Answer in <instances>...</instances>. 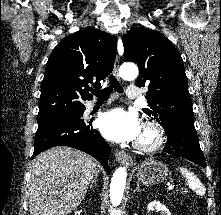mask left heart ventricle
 <instances>
[{"mask_svg":"<svg viewBox=\"0 0 221 215\" xmlns=\"http://www.w3.org/2000/svg\"><path fill=\"white\" fill-rule=\"evenodd\" d=\"M139 138H142V139H148V136L145 135V134H143V133L141 132Z\"/></svg>","mask_w":221,"mask_h":215,"instance_id":"b2bd125f","label":"left heart ventricle"}]
</instances>
